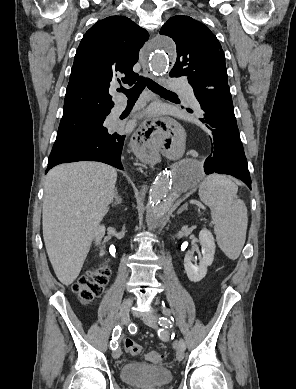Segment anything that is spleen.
<instances>
[{"label":"spleen","instance_id":"1","mask_svg":"<svg viewBox=\"0 0 296 389\" xmlns=\"http://www.w3.org/2000/svg\"><path fill=\"white\" fill-rule=\"evenodd\" d=\"M237 191V185L224 175H210L199 186L201 201L211 209L217 244L232 260L241 253L248 223L247 208Z\"/></svg>","mask_w":296,"mask_h":389}]
</instances>
